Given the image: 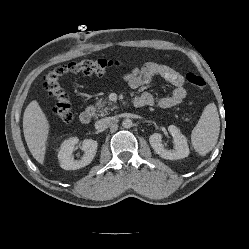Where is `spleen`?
<instances>
[{"label":"spleen","instance_id":"obj_1","mask_svg":"<svg viewBox=\"0 0 249 249\" xmlns=\"http://www.w3.org/2000/svg\"><path fill=\"white\" fill-rule=\"evenodd\" d=\"M220 119L214 103L208 104L191 133V143L196 152L205 156L217 143Z\"/></svg>","mask_w":249,"mask_h":249}]
</instances>
